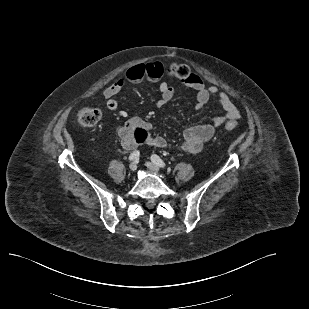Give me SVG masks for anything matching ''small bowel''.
<instances>
[{
  "label": "small bowel",
  "instance_id": "1",
  "mask_svg": "<svg viewBox=\"0 0 309 309\" xmlns=\"http://www.w3.org/2000/svg\"><path fill=\"white\" fill-rule=\"evenodd\" d=\"M164 68L159 62L147 64H137L128 68L122 78L107 86L103 91L106 100V107L115 111L118 108V102L115 96L120 93L127 82L140 83L144 80L158 83V91L161 99L160 104H165L172 100L176 94V89L165 81L161 80ZM183 84L196 92V108L201 109L211 98L215 99L224 109V116L214 117L212 123L194 125L188 127L183 133V142L180 148L189 153H198L202 150L204 144L212 139L216 128L222 126L226 121L236 122L240 117L239 109L232 102L230 97L216 86H206L203 80L192 74V76L183 81ZM136 129H143L146 137L143 144L157 148L167 147V141L161 136H153L150 133V125L138 117L128 119L118 130V135L124 149L132 150L138 146L133 132Z\"/></svg>",
  "mask_w": 309,
  "mask_h": 309
}]
</instances>
